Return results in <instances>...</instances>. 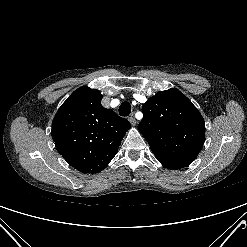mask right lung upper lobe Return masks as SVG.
<instances>
[{
  "mask_svg": "<svg viewBox=\"0 0 247 247\" xmlns=\"http://www.w3.org/2000/svg\"><path fill=\"white\" fill-rule=\"evenodd\" d=\"M96 89L75 90L57 111L51 135L57 151L83 173L102 171L116 155L131 124L101 105Z\"/></svg>",
  "mask_w": 247,
  "mask_h": 247,
  "instance_id": "obj_1",
  "label": "right lung upper lobe"
}]
</instances>
